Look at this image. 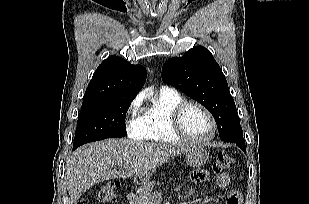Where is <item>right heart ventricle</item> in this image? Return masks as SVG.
I'll return each mask as SVG.
<instances>
[{"label":"right heart ventricle","mask_w":309,"mask_h":204,"mask_svg":"<svg viewBox=\"0 0 309 204\" xmlns=\"http://www.w3.org/2000/svg\"><path fill=\"white\" fill-rule=\"evenodd\" d=\"M183 100L184 98L173 90H161L155 95L139 117L140 138L155 143L180 142L181 139L171 129L170 114Z\"/></svg>","instance_id":"1"}]
</instances>
